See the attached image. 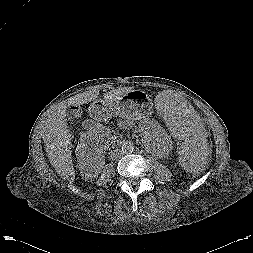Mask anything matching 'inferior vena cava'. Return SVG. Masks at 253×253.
Returning a JSON list of instances; mask_svg holds the SVG:
<instances>
[{
    "label": "inferior vena cava",
    "mask_w": 253,
    "mask_h": 253,
    "mask_svg": "<svg viewBox=\"0 0 253 253\" xmlns=\"http://www.w3.org/2000/svg\"><path fill=\"white\" fill-rule=\"evenodd\" d=\"M112 154H113V157L117 159V158H120L122 156L123 152L120 149L117 148L112 152Z\"/></svg>",
    "instance_id": "602c4592"
}]
</instances>
